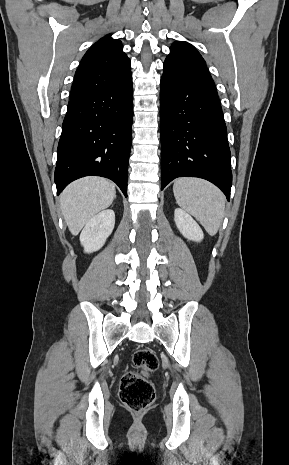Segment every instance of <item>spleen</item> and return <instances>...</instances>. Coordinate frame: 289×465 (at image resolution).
I'll return each mask as SVG.
<instances>
[{"instance_id": "spleen-1", "label": "spleen", "mask_w": 289, "mask_h": 465, "mask_svg": "<svg viewBox=\"0 0 289 465\" xmlns=\"http://www.w3.org/2000/svg\"><path fill=\"white\" fill-rule=\"evenodd\" d=\"M173 192L177 204L194 216L209 235L214 236L222 223L225 197L212 183L191 177L175 180Z\"/></svg>"}]
</instances>
